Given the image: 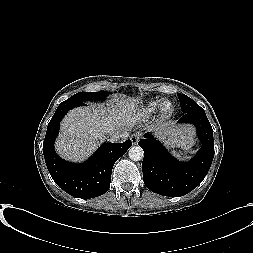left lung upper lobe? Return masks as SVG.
I'll list each match as a JSON object with an SVG mask.
<instances>
[{
	"mask_svg": "<svg viewBox=\"0 0 253 253\" xmlns=\"http://www.w3.org/2000/svg\"><path fill=\"white\" fill-rule=\"evenodd\" d=\"M177 96H178L179 101H180L181 110L184 113L203 110L198 104H196L188 96H186L184 94H177Z\"/></svg>",
	"mask_w": 253,
	"mask_h": 253,
	"instance_id": "left-lung-upper-lobe-1",
	"label": "left lung upper lobe"
}]
</instances>
